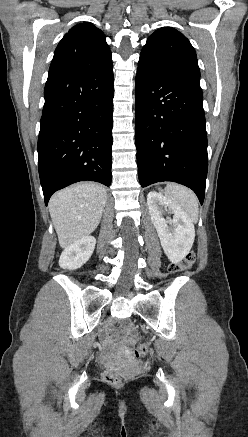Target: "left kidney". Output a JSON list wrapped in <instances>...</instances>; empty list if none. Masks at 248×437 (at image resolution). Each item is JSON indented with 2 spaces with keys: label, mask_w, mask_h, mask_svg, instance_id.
<instances>
[{
  "label": "left kidney",
  "mask_w": 248,
  "mask_h": 437,
  "mask_svg": "<svg viewBox=\"0 0 248 437\" xmlns=\"http://www.w3.org/2000/svg\"><path fill=\"white\" fill-rule=\"evenodd\" d=\"M147 205L165 254L172 263L180 262L194 242L192 220L179 206L155 191L148 193ZM166 213L173 214V218H164Z\"/></svg>",
  "instance_id": "1"
}]
</instances>
